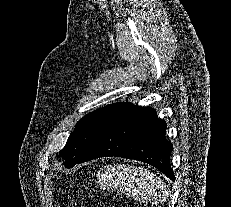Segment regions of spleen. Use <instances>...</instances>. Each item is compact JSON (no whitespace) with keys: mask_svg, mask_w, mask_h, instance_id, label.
I'll use <instances>...</instances> for the list:
<instances>
[{"mask_svg":"<svg viewBox=\"0 0 231 207\" xmlns=\"http://www.w3.org/2000/svg\"><path fill=\"white\" fill-rule=\"evenodd\" d=\"M103 176L104 184L124 192L137 201L159 203L168 198L167 186L144 168L125 164L107 166Z\"/></svg>","mask_w":231,"mask_h":207,"instance_id":"3e777b00","label":"spleen"}]
</instances>
